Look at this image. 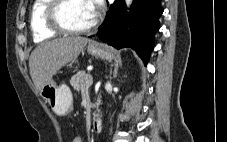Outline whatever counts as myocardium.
<instances>
[{"label": "myocardium", "instance_id": "myocardium-1", "mask_svg": "<svg viewBox=\"0 0 227 142\" xmlns=\"http://www.w3.org/2000/svg\"><path fill=\"white\" fill-rule=\"evenodd\" d=\"M68 2L69 0H51L45 12L46 24L51 30L61 34H81L97 25L98 20L95 18L90 24L80 28L67 26L62 19V12Z\"/></svg>", "mask_w": 227, "mask_h": 142}]
</instances>
